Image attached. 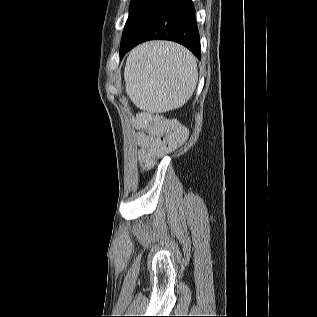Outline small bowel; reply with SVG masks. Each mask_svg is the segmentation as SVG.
<instances>
[{"label": "small bowel", "mask_w": 317, "mask_h": 317, "mask_svg": "<svg viewBox=\"0 0 317 317\" xmlns=\"http://www.w3.org/2000/svg\"><path fill=\"white\" fill-rule=\"evenodd\" d=\"M137 141L139 143V145L142 147V152L143 151H146L148 150L153 141H154V138L152 136H148V135H145L143 133H138L137 134Z\"/></svg>", "instance_id": "c3829d8e"}]
</instances>
